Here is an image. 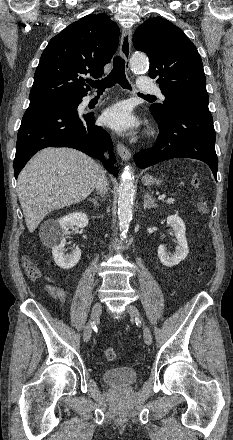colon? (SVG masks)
Masks as SVG:
<instances>
[{
    "mask_svg": "<svg viewBox=\"0 0 233 440\" xmlns=\"http://www.w3.org/2000/svg\"><path fill=\"white\" fill-rule=\"evenodd\" d=\"M191 184L195 187V188H200L201 187V178L198 174H193L192 178H191ZM208 204L205 201L204 197L202 195L199 196L198 202H197V211L200 215H205L208 213ZM23 266L24 269L27 273V275L31 278V279H39L42 276V273L40 271V269L29 259V258H24L23 259ZM200 273H202V271H200ZM103 356L106 360L108 361H114L117 359V353L116 351L111 348V347H105L102 351Z\"/></svg>",
    "mask_w": 233,
    "mask_h": 440,
    "instance_id": "5ec220e1",
    "label": "colon"
}]
</instances>
